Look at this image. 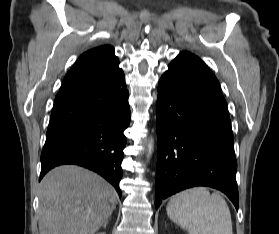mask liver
Listing matches in <instances>:
<instances>
[{
	"instance_id": "liver-1",
	"label": "liver",
	"mask_w": 279,
	"mask_h": 234,
	"mask_svg": "<svg viewBox=\"0 0 279 234\" xmlns=\"http://www.w3.org/2000/svg\"><path fill=\"white\" fill-rule=\"evenodd\" d=\"M115 189L74 165L51 170L41 181L39 234H94L116 207Z\"/></svg>"
}]
</instances>
